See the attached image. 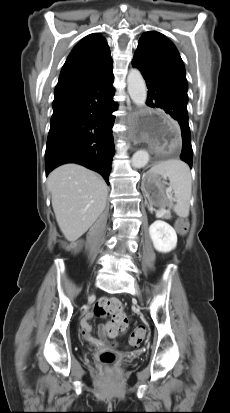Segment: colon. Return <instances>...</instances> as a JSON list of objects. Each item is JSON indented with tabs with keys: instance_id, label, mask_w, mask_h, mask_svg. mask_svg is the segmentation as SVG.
I'll use <instances>...</instances> for the list:
<instances>
[{
	"instance_id": "1",
	"label": "colon",
	"mask_w": 230,
	"mask_h": 413,
	"mask_svg": "<svg viewBox=\"0 0 230 413\" xmlns=\"http://www.w3.org/2000/svg\"><path fill=\"white\" fill-rule=\"evenodd\" d=\"M177 229L180 233H185L187 230V225L184 220H180L177 223ZM93 312L98 317L112 316L116 318L123 312V304L119 299L116 298H105L98 300L93 308ZM146 336V329L143 326H137L133 329L130 337L129 343L132 346L139 345ZM115 355L111 352H104L100 356V361L105 365H110L114 362Z\"/></svg>"
}]
</instances>
